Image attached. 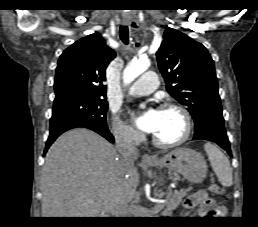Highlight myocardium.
<instances>
[{"instance_id":"obj_1","label":"myocardium","mask_w":258,"mask_h":227,"mask_svg":"<svg viewBox=\"0 0 258 227\" xmlns=\"http://www.w3.org/2000/svg\"><path fill=\"white\" fill-rule=\"evenodd\" d=\"M159 110H175L179 112L184 120V132L181 135V137H179L174 141H169V142L162 141L158 139L156 136L152 135L153 144L160 148H173L186 142L191 135L192 126H193L192 118L189 111L185 107L175 103H164L159 107Z\"/></svg>"}]
</instances>
